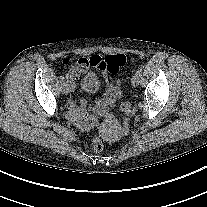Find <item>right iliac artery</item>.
<instances>
[{"mask_svg":"<svg viewBox=\"0 0 207 207\" xmlns=\"http://www.w3.org/2000/svg\"><path fill=\"white\" fill-rule=\"evenodd\" d=\"M60 79H61V82L64 83V80H65L64 76H61Z\"/></svg>","mask_w":207,"mask_h":207,"instance_id":"1","label":"right iliac artery"}]
</instances>
